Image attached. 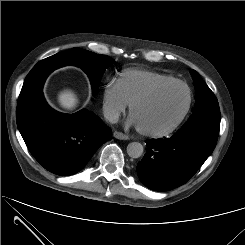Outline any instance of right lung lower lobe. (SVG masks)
<instances>
[{"label": "right lung lower lobe", "instance_id": "obj_1", "mask_svg": "<svg viewBox=\"0 0 245 245\" xmlns=\"http://www.w3.org/2000/svg\"><path fill=\"white\" fill-rule=\"evenodd\" d=\"M18 129L34 158L57 175L80 171L112 130L93 112L59 113L48 106L42 92L17 107Z\"/></svg>", "mask_w": 245, "mask_h": 245}]
</instances>
